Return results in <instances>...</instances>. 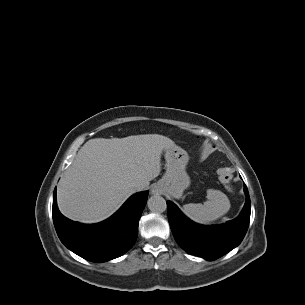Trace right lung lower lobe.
<instances>
[{"instance_id":"1","label":"right lung lower lobe","mask_w":305,"mask_h":305,"mask_svg":"<svg viewBox=\"0 0 305 305\" xmlns=\"http://www.w3.org/2000/svg\"><path fill=\"white\" fill-rule=\"evenodd\" d=\"M148 191L136 193L109 219L92 225L73 222L63 216L53 194V222L61 242L72 252L92 262H105L126 253L135 243L138 222Z\"/></svg>"}]
</instances>
